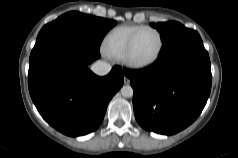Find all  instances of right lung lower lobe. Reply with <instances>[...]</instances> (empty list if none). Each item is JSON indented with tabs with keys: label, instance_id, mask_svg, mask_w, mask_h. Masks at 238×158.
<instances>
[{
	"label": "right lung lower lobe",
	"instance_id": "obj_1",
	"mask_svg": "<svg viewBox=\"0 0 238 158\" xmlns=\"http://www.w3.org/2000/svg\"><path fill=\"white\" fill-rule=\"evenodd\" d=\"M99 57V49L64 33L44 36L30 54L31 98L44 120L65 135L75 137L96 130L109 101L123 85L119 66L104 77L87 68Z\"/></svg>",
	"mask_w": 238,
	"mask_h": 158
}]
</instances>
